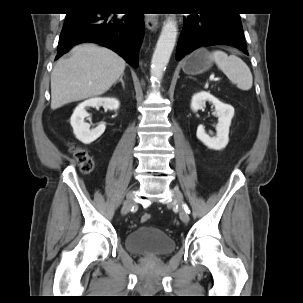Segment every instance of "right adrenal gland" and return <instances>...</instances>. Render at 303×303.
I'll use <instances>...</instances> for the list:
<instances>
[{"instance_id": "obj_1", "label": "right adrenal gland", "mask_w": 303, "mask_h": 303, "mask_svg": "<svg viewBox=\"0 0 303 303\" xmlns=\"http://www.w3.org/2000/svg\"><path fill=\"white\" fill-rule=\"evenodd\" d=\"M123 76H124V73L120 76L119 80L115 82V84L118 83V82H121L122 87L125 88V83L123 81Z\"/></svg>"}]
</instances>
